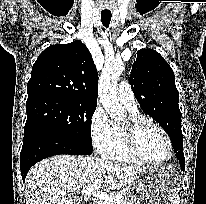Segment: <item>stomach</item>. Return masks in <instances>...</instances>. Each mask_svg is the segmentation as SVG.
I'll use <instances>...</instances> for the list:
<instances>
[{
  "label": "stomach",
  "mask_w": 206,
  "mask_h": 204,
  "mask_svg": "<svg viewBox=\"0 0 206 204\" xmlns=\"http://www.w3.org/2000/svg\"><path fill=\"white\" fill-rule=\"evenodd\" d=\"M180 186L173 166L150 167L141 172L125 191L131 204H170Z\"/></svg>",
  "instance_id": "obj_1"
}]
</instances>
